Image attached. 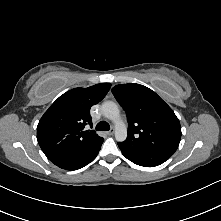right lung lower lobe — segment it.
Wrapping results in <instances>:
<instances>
[{
    "label": "right lung lower lobe",
    "mask_w": 221,
    "mask_h": 221,
    "mask_svg": "<svg viewBox=\"0 0 221 221\" xmlns=\"http://www.w3.org/2000/svg\"><path fill=\"white\" fill-rule=\"evenodd\" d=\"M100 148H101V145H99L98 148L91 155H89L85 160H83L79 165H77L75 168H73L71 170L80 169V168L86 166L87 164H89L91 161H93L95 159V157L97 156Z\"/></svg>",
    "instance_id": "98d812e1"
}]
</instances>
